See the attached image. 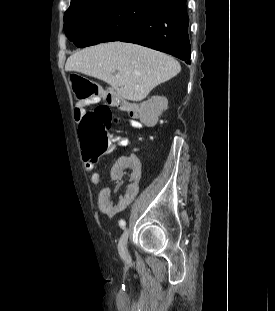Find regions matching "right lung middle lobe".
I'll return each mask as SVG.
<instances>
[{
  "label": "right lung middle lobe",
  "instance_id": "obj_1",
  "mask_svg": "<svg viewBox=\"0 0 275 311\" xmlns=\"http://www.w3.org/2000/svg\"><path fill=\"white\" fill-rule=\"evenodd\" d=\"M160 0H83L71 2L64 30L77 47L115 41Z\"/></svg>",
  "mask_w": 275,
  "mask_h": 311
}]
</instances>
